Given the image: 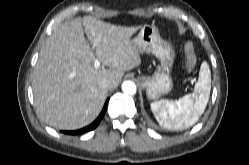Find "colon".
Segmentation results:
<instances>
[{"mask_svg":"<svg viewBox=\"0 0 249 165\" xmlns=\"http://www.w3.org/2000/svg\"><path fill=\"white\" fill-rule=\"evenodd\" d=\"M185 55H186V65L189 70L193 69L194 66L196 65V54H195V49L194 45L191 42H187L185 44Z\"/></svg>","mask_w":249,"mask_h":165,"instance_id":"colon-1","label":"colon"}]
</instances>
